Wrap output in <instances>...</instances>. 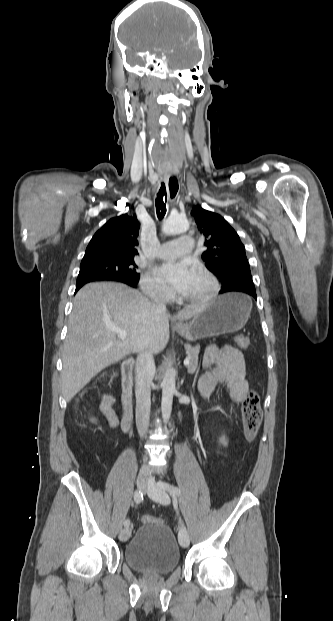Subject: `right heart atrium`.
I'll return each mask as SVG.
<instances>
[{
  "mask_svg": "<svg viewBox=\"0 0 333 621\" xmlns=\"http://www.w3.org/2000/svg\"><path fill=\"white\" fill-rule=\"evenodd\" d=\"M141 288L146 295L158 301H167L171 297L169 289L149 272L143 275Z\"/></svg>",
  "mask_w": 333,
  "mask_h": 621,
  "instance_id": "right-heart-atrium-1",
  "label": "right heart atrium"
}]
</instances>
